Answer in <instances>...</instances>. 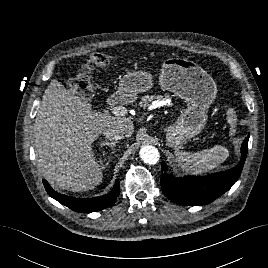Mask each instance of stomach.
Listing matches in <instances>:
<instances>
[{"label":"stomach","instance_id":"0dacf381","mask_svg":"<svg viewBox=\"0 0 268 268\" xmlns=\"http://www.w3.org/2000/svg\"><path fill=\"white\" fill-rule=\"evenodd\" d=\"M159 85L187 102L178 119L164 128L167 145L178 148L197 136L207 122V112L217 93L213 78L198 64L186 58L163 61ZM153 86V77L144 70L128 72L120 80L118 92L125 102H133L138 94Z\"/></svg>","mask_w":268,"mask_h":268}]
</instances>
